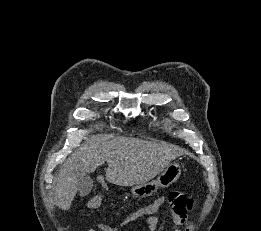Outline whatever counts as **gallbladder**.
Returning a JSON list of instances; mask_svg holds the SVG:
<instances>
[{"label": "gallbladder", "instance_id": "obj_1", "mask_svg": "<svg viewBox=\"0 0 261 231\" xmlns=\"http://www.w3.org/2000/svg\"><path fill=\"white\" fill-rule=\"evenodd\" d=\"M79 193L81 196L89 194L93 187V180L88 174L78 173L77 175Z\"/></svg>", "mask_w": 261, "mask_h": 231}]
</instances>
